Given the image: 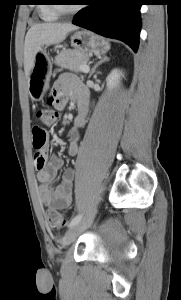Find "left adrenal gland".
<instances>
[{"mask_svg":"<svg viewBox=\"0 0 181 300\" xmlns=\"http://www.w3.org/2000/svg\"><path fill=\"white\" fill-rule=\"evenodd\" d=\"M109 58L104 56L102 58H100V60L94 65V67L92 68L90 74H89V78L95 73L96 69L103 63L108 62Z\"/></svg>","mask_w":181,"mask_h":300,"instance_id":"obj_1","label":"left adrenal gland"}]
</instances>
